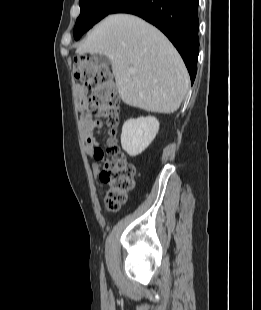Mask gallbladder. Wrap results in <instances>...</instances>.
<instances>
[{
    "mask_svg": "<svg viewBox=\"0 0 261 310\" xmlns=\"http://www.w3.org/2000/svg\"><path fill=\"white\" fill-rule=\"evenodd\" d=\"M92 59L101 67H107L110 65V59L103 54H93Z\"/></svg>",
    "mask_w": 261,
    "mask_h": 310,
    "instance_id": "1",
    "label": "gallbladder"
}]
</instances>
